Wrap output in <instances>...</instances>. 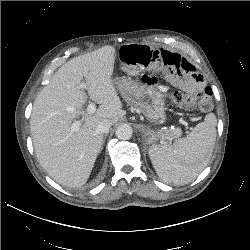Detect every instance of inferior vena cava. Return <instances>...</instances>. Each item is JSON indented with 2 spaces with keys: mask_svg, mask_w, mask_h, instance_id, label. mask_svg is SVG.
<instances>
[{
  "mask_svg": "<svg viewBox=\"0 0 250 250\" xmlns=\"http://www.w3.org/2000/svg\"><path fill=\"white\" fill-rule=\"evenodd\" d=\"M110 127L111 123L109 121H103L98 125L97 130L101 133H108Z\"/></svg>",
  "mask_w": 250,
  "mask_h": 250,
  "instance_id": "1",
  "label": "inferior vena cava"
}]
</instances>
